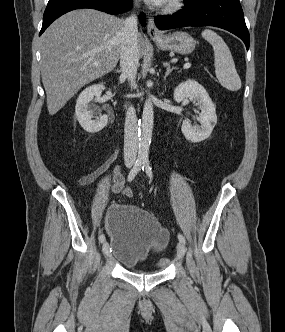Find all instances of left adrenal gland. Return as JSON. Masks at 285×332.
I'll return each mask as SVG.
<instances>
[{"mask_svg": "<svg viewBox=\"0 0 285 332\" xmlns=\"http://www.w3.org/2000/svg\"><path fill=\"white\" fill-rule=\"evenodd\" d=\"M163 65H164V67H166V73H165V76H164V79H166V77L171 73V71L173 69H176V68L175 67L171 68L170 63H168V62L164 63Z\"/></svg>", "mask_w": 285, "mask_h": 332, "instance_id": "a2214340", "label": "left adrenal gland"}]
</instances>
